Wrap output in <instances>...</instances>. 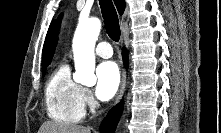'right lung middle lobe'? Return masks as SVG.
<instances>
[{"label":"right lung middle lobe","instance_id":"dd1d6c3e","mask_svg":"<svg viewBox=\"0 0 221 133\" xmlns=\"http://www.w3.org/2000/svg\"><path fill=\"white\" fill-rule=\"evenodd\" d=\"M47 66H48V64H45V65L42 66V73H43V75L45 74Z\"/></svg>","mask_w":221,"mask_h":133}]
</instances>
